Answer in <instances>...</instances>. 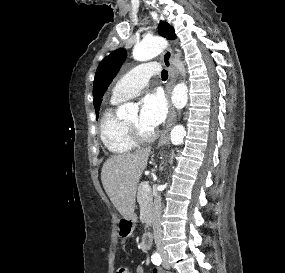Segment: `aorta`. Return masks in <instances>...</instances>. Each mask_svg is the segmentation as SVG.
<instances>
[{"instance_id": "aorta-1", "label": "aorta", "mask_w": 285, "mask_h": 273, "mask_svg": "<svg viewBox=\"0 0 285 273\" xmlns=\"http://www.w3.org/2000/svg\"><path fill=\"white\" fill-rule=\"evenodd\" d=\"M166 46V41L160 37L145 38L137 43L133 49V58L137 61H147L159 55ZM172 103L177 109L185 107L188 101V89L184 82L178 83L172 91ZM138 107L133 103H126L118 107L117 115L125 117L137 112ZM185 129L182 125L173 127L170 137L173 145H179L185 137Z\"/></svg>"}]
</instances>
